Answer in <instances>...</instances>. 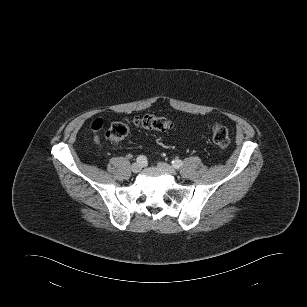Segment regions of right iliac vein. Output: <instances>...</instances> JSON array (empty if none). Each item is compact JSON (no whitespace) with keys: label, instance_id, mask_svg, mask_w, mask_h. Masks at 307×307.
Segmentation results:
<instances>
[{"label":"right iliac vein","instance_id":"1","mask_svg":"<svg viewBox=\"0 0 307 307\" xmlns=\"http://www.w3.org/2000/svg\"><path fill=\"white\" fill-rule=\"evenodd\" d=\"M131 169H132L133 173H138V172L141 171L142 165L139 164L138 162L137 163H133Z\"/></svg>","mask_w":307,"mask_h":307}]
</instances>
